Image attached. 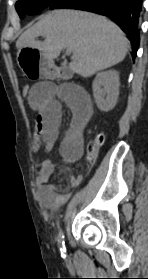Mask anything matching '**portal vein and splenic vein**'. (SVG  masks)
I'll return each mask as SVG.
<instances>
[{"label": "portal vein and splenic vein", "mask_w": 148, "mask_h": 279, "mask_svg": "<svg viewBox=\"0 0 148 279\" xmlns=\"http://www.w3.org/2000/svg\"><path fill=\"white\" fill-rule=\"evenodd\" d=\"M71 53H72V49L67 48V49H66V54H67V55H70Z\"/></svg>", "instance_id": "18ae733b"}]
</instances>
